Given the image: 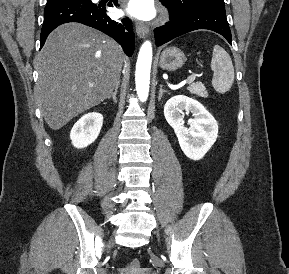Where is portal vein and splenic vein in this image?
<instances>
[{"instance_id":"1","label":"portal vein and splenic vein","mask_w":289,"mask_h":274,"mask_svg":"<svg viewBox=\"0 0 289 274\" xmlns=\"http://www.w3.org/2000/svg\"><path fill=\"white\" fill-rule=\"evenodd\" d=\"M196 76H201V75H190L186 81H183L180 83V85H185L186 83L187 84H190V83H193L196 79Z\"/></svg>"}]
</instances>
